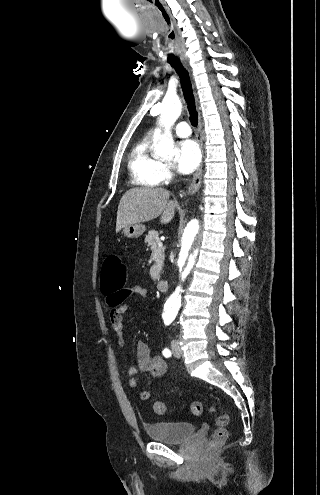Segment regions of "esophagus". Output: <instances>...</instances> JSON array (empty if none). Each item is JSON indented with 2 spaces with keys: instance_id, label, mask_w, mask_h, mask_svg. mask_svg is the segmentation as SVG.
<instances>
[{
  "instance_id": "1",
  "label": "esophagus",
  "mask_w": 320,
  "mask_h": 495,
  "mask_svg": "<svg viewBox=\"0 0 320 495\" xmlns=\"http://www.w3.org/2000/svg\"><path fill=\"white\" fill-rule=\"evenodd\" d=\"M202 126H203L202 118H201V115L199 113L197 139H198L200 148H201L202 153H203L204 152V146H203L204 136H203ZM201 182H202V164L199 167V169L197 170V172L195 173L191 184L188 186V189H187L188 194L196 193L201 186Z\"/></svg>"
}]
</instances>
